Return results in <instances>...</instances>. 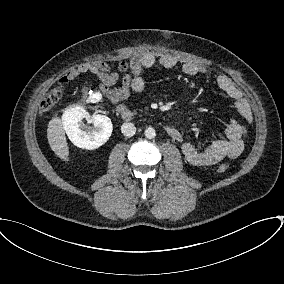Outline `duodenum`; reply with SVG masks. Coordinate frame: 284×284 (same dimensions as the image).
Instances as JSON below:
<instances>
[{
    "label": "duodenum",
    "mask_w": 284,
    "mask_h": 284,
    "mask_svg": "<svg viewBox=\"0 0 284 284\" xmlns=\"http://www.w3.org/2000/svg\"><path fill=\"white\" fill-rule=\"evenodd\" d=\"M116 111L120 114L121 118L126 122H131L135 119L134 113L131 110H129L124 104H117ZM164 130L166 134L170 137H175L178 135V130L171 126H165Z\"/></svg>",
    "instance_id": "duodenum-1"
}]
</instances>
